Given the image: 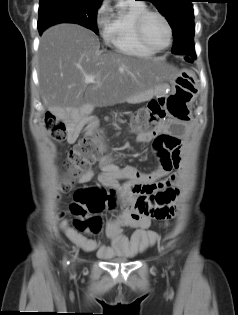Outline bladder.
<instances>
[{"label":"bladder","instance_id":"bladder-1","mask_svg":"<svg viewBox=\"0 0 238 315\" xmlns=\"http://www.w3.org/2000/svg\"><path fill=\"white\" fill-rule=\"evenodd\" d=\"M128 260H129L128 258H123V259H120V262H126Z\"/></svg>","mask_w":238,"mask_h":315}]
</instances>
